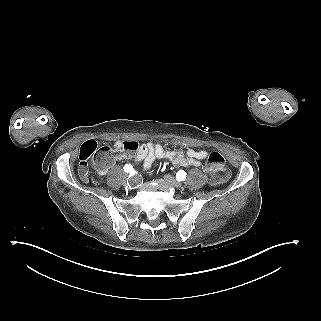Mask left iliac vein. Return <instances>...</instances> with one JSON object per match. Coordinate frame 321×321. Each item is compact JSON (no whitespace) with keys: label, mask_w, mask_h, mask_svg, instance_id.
Returning <instances> with one entry per match:
<instances>
[{"label":"left iliac vein","mask_w":321,"mask_h":321,"mask_svg":"<svg viewBox=\"0 0 321 321\" xmlns=\"http://www.w3.org/2000/svg\"><path fill=\"white\" fill-rule=\"evenodd\" d=\"M164 179H165L169 184H171L172 186H174V187H176V188H180V187L183 186V184H182L179 180H177L174 176H172V175L167 174V175L164 176Z\"/></svg>","instance_id":"obj_1"}]
</instances>
